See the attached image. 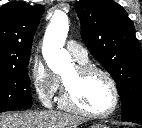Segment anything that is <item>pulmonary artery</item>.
<instances>
[{"label": "pulmonary artery", "instance_id": "e3ab8cb5", "mask_svg": "<svg viewBox=\"0 0 142 128\" xmlns=\"http://www.w3.org/2000/svg\"><path fill=\"white\" fill-rule=\"evenodd\" d=\"M69 53L79 62L88 61L87 50L74 40H69L66 44Z\"/></svg>", "mask_w": 142, "mask_h": 128}]
</instances>
